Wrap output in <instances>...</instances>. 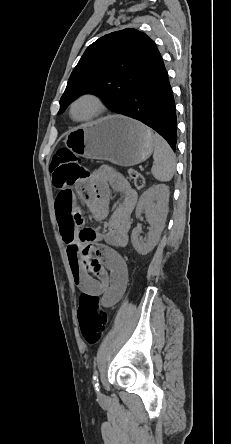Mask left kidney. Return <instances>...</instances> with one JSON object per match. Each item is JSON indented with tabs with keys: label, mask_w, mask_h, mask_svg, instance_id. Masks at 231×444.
Here are the masks:
<instances>
[{
	"label": "left kidney",
	"mask_w": 231,
	"mask_h": 444,
	"mask_svg": "<svg viewBox=\"0 0 231 444\" xmlns=\"http://www.w3.org/2000/svg\"><path fill=\"white\" fill-rule=\"evenodd\" d=\"M168 202L169 187L165 184L153 185L140 196L136 208V217H139L145 211L150 229L145 239L140 237L139 228L136 227L132 231L131 241L139 254L146 255L157 245L165 225Z\"/></svg>",
	"instance_id": "1"
}]
</instances>
